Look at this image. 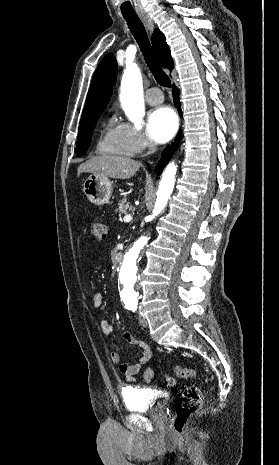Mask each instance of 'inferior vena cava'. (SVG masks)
<instances>
[{
	"label": "inferior vena cava",
	"mask_w": 279,
	"mask_h": 465,
	"mask_svg": "<svg viewBox=\"0 0 279 465\" xmlns=\"http://www.w3.org/2000/svg\"><path fill=\"white\" fill-rule=\"evenodd\" d=\"M156 150V144L152 141L148 143V152L147 155L153 153Z\"/></svg>",
	"instance_id": "602c4592"
}]
</instances>
